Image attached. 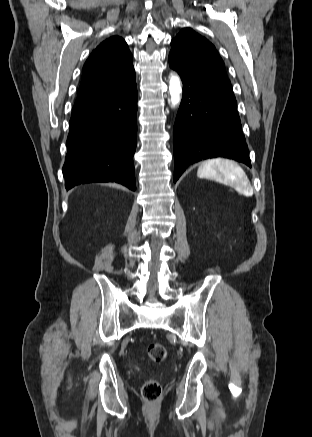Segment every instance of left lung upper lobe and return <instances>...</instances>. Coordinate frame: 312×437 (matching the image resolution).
Wrapping results in <instances>:
<instances>
[{
  "label": "left lung upper lobe",
  "instance_id": "left-lung-upper-lobe-1",
  "mask_svg": "<svg viewBox=\"0 0 312 437\" xmlns=\"http://www.w3.org/2000/svg\"><path fill=\"white\" fill-rule=\"evenodd\" d=\"M171 56L208 80L231 91L224 62L215 47L190 28L183 29L171 41Z\"/></svg>",
  "mask_w": 312,
  "mask_h": 437
}]
</instances>
